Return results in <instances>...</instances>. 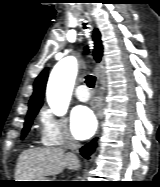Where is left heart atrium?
<instances>
[{
    "instance_id": "1",
    "label": "left heart atrium",
    "mask_w": 160,
    "mask_h": 187,
    "mask_svg": "<svg viewBox=\"0 0 160 187\" xmlns=\"http://www.w3.org/2000/svg\"><path fill=\"white\" fill-rule=\"evenodd\" d=\"M71 127L77 138L87 139L91 137L96 129L94 114L86 106L76 107L71 115Z\"/></svg>"
}]
</instances>
